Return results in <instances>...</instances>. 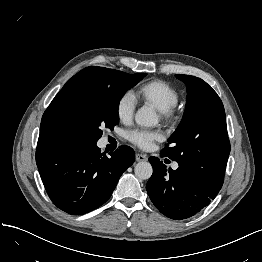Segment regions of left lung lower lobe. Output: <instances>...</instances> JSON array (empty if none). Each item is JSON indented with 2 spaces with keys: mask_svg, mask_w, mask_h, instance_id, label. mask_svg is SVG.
<instances>
[{
  "mask_svg": "<svg viewBox=\"0 0 262 262\" xmlns=\"http://www.w3.org/2000/svg\"><path fill=\"white\" fill-rule=\"evenodd\" d=\"M149 161L153 174L146 185L148 195L154 206L173 220H183L196 215L208 206L219 192L207 188L181 167L176 170L166 169L157 157H150Z\"/></svg>",
  "mask_w": 262,
  "mask_h": 262,
  "instance_id": "1",
  "label": "left lung lower lobe"
}]
</instances>
